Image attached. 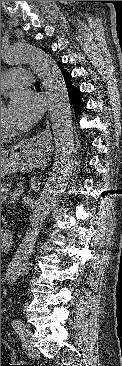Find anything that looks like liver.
I'll return each instance as SVG.
<instances>
[{"instance_id": "liver-1", "label": "liver", "mask_w": 122, "mask_h": 366, "mask_svg": "<svg viewBox=\"0 0 122 366\" xmlns=\"http://www.w3.org/2000/svg\"><path fill=\"white\" fill-rule=\"evenodd\" d=\"M8 151L1 150V166L4 164L5 160L8 157Z\"/></svg>"}]
</instances>
